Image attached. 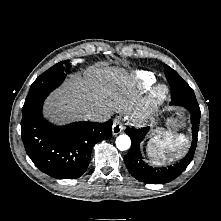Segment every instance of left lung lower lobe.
<instances>
[{
	"instance_id": "obj_1",
	"label": "left lung lower lobe",
	"mask_w": 221,
	"mask_h": 221,
	"mask_svg": "<svg viewBox=\"0 0 221 221\" xmlns=\"http://www.w3.org/2000/svg\"><path fill=\"white\" fill-rule=\"evenodd\" d=\"M171 105L182 106L191 113L192 144L191 148L179 163L168 168H153L142 161L140 142L145 138L149 128L126 129V133L132 140V147L124 161L131 175L139 181L153 184H164L178 177L192 161L199 131L200 108L194 95L193 89L184 81L177 80L171 85Z\"/></svg>"
}]
</instances>
